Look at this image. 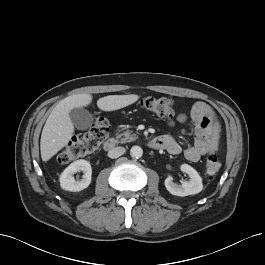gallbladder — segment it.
<instances>
[{
  "mask_svg": "<svg viewBox=\"0 0 265 265\" xmlns=\"http://www.w3.org/2000/svg\"><path fill=\"white\" fill-rule=\"evenodd\" d=\"M69 116L74 126L79 130L88 129L94 120L92 114L84 108H73L69 112Z\"/></svg>",
  "mask_w": 265,
  "mask_h": 265,
  "instance_id": "1",
  "label": "gallbladder"
}]
</instances>
